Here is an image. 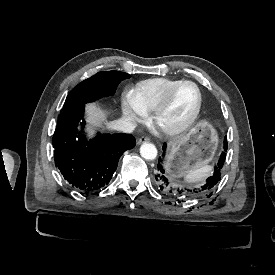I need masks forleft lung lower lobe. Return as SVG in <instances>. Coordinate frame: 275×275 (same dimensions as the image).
Returning a JSON list of instances; mask_svg holds the SVG:
<instances>
[{"instance_id": "obj_1", "label": "left lung lower lobe", "mask_w": 275, "mask_h": 275, "mask_svg": "<svg viewBox=\"0 0 275 275\" xmlns=\"http://www.w3.org/2000/svg\"><path fill=\"white\" fill-rule=\"evenodd\" d=\"M165 147L166 145L164 144L163 148L165 149ZM227 147H228L227 141L225 140V143H224L225 150H227ZM225 158H226V155L222 153L218 161V164L214 167L212 175L209 178H207L206 182H204L202 185L195 186L194 188L177 187L170 180H168L164 170V158H159L157 168L154 174L155 183L163 193L171 196L191 197V196L207 194L211 192L213 188L216 186V184L220 181L221 179L220 170L224 164Z\"/></svg>"}]
</instances>
